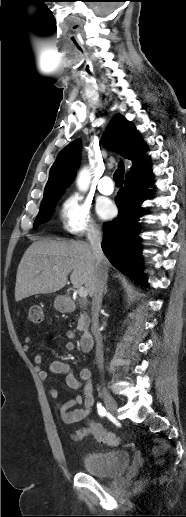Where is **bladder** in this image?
I'll list each match as a JSON object with an SVG mask.
<instances>
[{"mask_svg": "<svg viewBox=\"0 0 186 517\" xmlns=\"http://www.w3.org/2000/svg\"><path fill=\"white\" fill-rule=\"evenodd\" d=\"M84 470L99 478L121 475L129 466L130 454L126 450L89 453L82 460Z\"/></svg>", "mask_w": 186, "mask_h": 517, "instance_id": "bladder-1", "label": "bladder"}]
</instances>
